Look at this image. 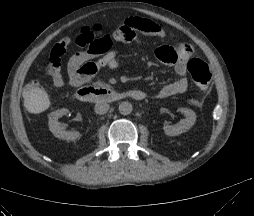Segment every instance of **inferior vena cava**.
I'll list each match as a JSON object with an SVG mask.
<instances>
[{
  "mask_svg": "<svg viewBox=\"0 0 254 216\" xmlns=\"http://www.w3.org/2000/svg\"><path fill=\"white\" fill-rule=\"evenodd\" d=\"M95 112L99 115H103L108 112L109 105L106 102H97L94 108Z\"/></svg>",
  "mask_w": 254,
  "mask_h": 216,
  "instance_id": "obj_1",
  "label": "inferior vena cava"
}]
</instances>
